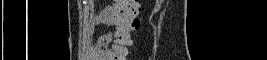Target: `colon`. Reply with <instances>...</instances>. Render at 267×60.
I'll use <instances>...</instances> for the list:
<instances>
[{
	"instance_id": "1",
	"label": "colon",
	"mask_w": 267,
	"mask_h": 60,
	"mask_svg": "<svg viewBox=\"0 0 267 60\" xmlns=\"http://www.w3.org/2000/svg\"><path fill=\"white\" fill-rule=\"evenodd\" d=\"M138 13L139 4L136 0H119L115 2V6L109 16L110 23L115 26L114 45L105 54L109 59H129L128 45L131 42L132 33L138 29Z\"/></svg>"
}]
</instances>
